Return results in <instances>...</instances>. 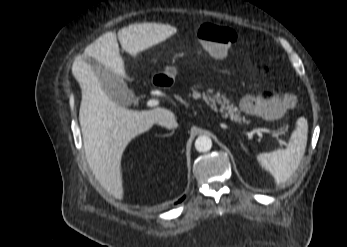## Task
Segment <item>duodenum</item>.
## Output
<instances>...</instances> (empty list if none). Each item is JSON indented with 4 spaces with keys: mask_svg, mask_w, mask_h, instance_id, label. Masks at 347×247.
Returning a JSON list of instances; mask_svg holds the SVG:
<instances>
[{
    "mask_svg": "<svg viewBox=\"0 0 347 247\" xmlns=\"http://www.w3.org/2000/svg\"><path fill=\"white\" fill-rule=\"evenodd\" d=\"M152 83H153V85L156 86V87L165 86L164 79H163V77H161V76H156V77H154Z\"/></svg>",
    "mask_w": 347,
    "mask_h": 247,
    "instance_id": "1",
    "label": "duodenum"
}]
</instances>
